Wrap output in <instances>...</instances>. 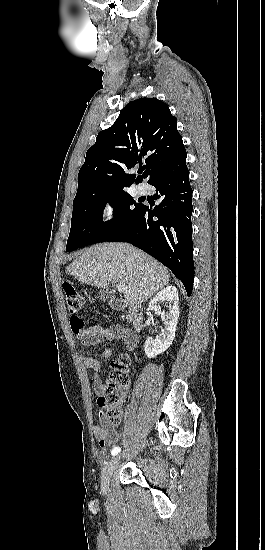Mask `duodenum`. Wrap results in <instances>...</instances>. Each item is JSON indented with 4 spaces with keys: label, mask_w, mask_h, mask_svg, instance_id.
I'll return each instance as SVG.
<instances>
[{
    "label": "duodenum",
    "mask_w": 265,
    "mask_h": 550,
    "mask_svg": "<svg viewBox=\"0 0 265 550\" xmlns=\"http://www.w3.org/2000/svg\"><path fill=\"white\" fill-rule=\"evenodd\" d=\"M111 307L115 311H126L129 321L135 332H139L143 327V309L138 304H128L122 299H113Z\"/></svg>",
    "instance_id": "410a0bca"
}]
</instances>
